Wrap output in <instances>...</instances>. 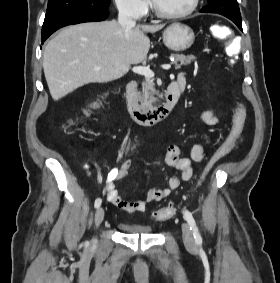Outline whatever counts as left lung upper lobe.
I'll list each match as a JSON object with an SVG mask.
<instances>
[{"instance_id":"obj_1","label":"left lung upper lobe","mask_w":280,"mask_h":283,"mask_svg":"<svg viewBox=\"0 0 280 283\" xmlns=\"http://www.w3.org/2000/svg\"><path fill=\"white\" fill-rule=\"evenodd\" d=\"M209 5L203 7L200 12L218 13L229 19L241 20L240 10L237 0H208Z\"/></svg>"}]
</instances>
